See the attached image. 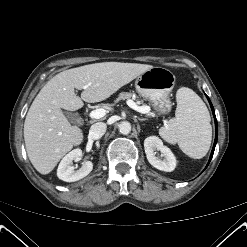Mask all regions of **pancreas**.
I'll return each mask as SVG.
<instances>
[{
	"label": "pancreas",
	"instance_id": "obj_1",
	"mask_svg": "<svg viewBox=\"0 0 247 247\" xmlns=\"http://www.w3.org/2000/svg\"><path fill=\"white\" fill-rule=\"evenodd\" d=\"M133 98L134 100L136 99V97H134V94L131 92H121L118 96V98L116 99V101H120V100H124V99H130ZM141 103V101H139Z\"/></svg>",
	"mask_w": 247,
	"mask_h": 247
}]
</instances>
